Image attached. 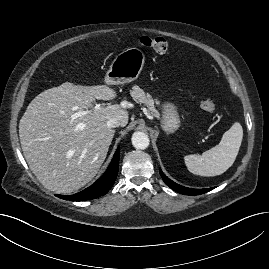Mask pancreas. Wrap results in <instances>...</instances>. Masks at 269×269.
Segmentation results:
<instances>
[{
  "mask_svg": "<svg viewBox=\"0 0 269 269\" xmlns=\"http://www.w3.org/2000/svg\"><path fill=\"white\" fill-rule=\"evenodd\" d=\"M130 94L136 103L146 105L150 114L154 115L155 117L159 116V112L154 105L155 103H159L157 99H153L149 93H145L139 86H133Z\"/></svg>",
  "mask_w": 269,
  "mask_h": 269,
  "instance_id": "cf45deb5",
  "label": "pancreas"
}]
</instances>
